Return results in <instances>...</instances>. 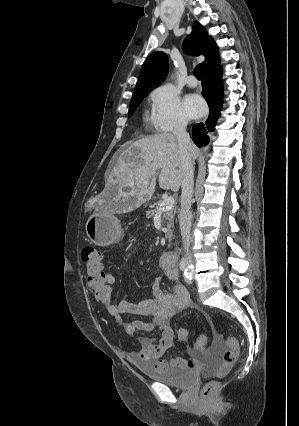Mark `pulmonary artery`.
Instances as JSON below:
<instances>
[{
  "label": "pulmonary artery",
  "instance_id": "e3ab8cb5",
  "mask_svg": "<svg viewBox=\"0 0 299 426\" xmlns=\"http://www.w3.org/2000/svg\"><path fill=\"white\" fill-rule=\"evenodd\" d=\"M186 83L190 87H196L197 84H198L196 78L193 75H190V76L187 77Z\"/></svg>",
  "mask_w": 299,
  "mask_h": 426
}]
</instances>
